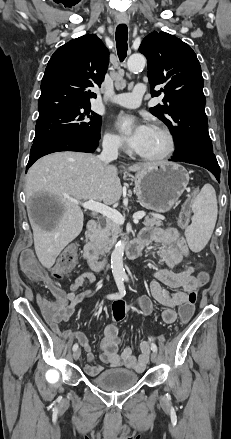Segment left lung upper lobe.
<instances>
[{
  "label": "left lung upper lobe",
  "mask_w": 231,
  "mask_h": 439,
  "mask_svg": "<svg viewBox=\"0 0 231 439\" xmlns=\"http://www.w3.org/2000/svg\"><path fill=\"white\" fill-rule=\"evenodd\" d=\"M139 51L147 58L152 97L165 94L164 105L150 111L171 130L175 153L191 148L213 151L205 114L204 81L195 52L179 38L162 31L147 35ZM157 85L162 87L155 91Z\"/></svg>",
  "instance_id": "obj_1"
}]
</instances>
